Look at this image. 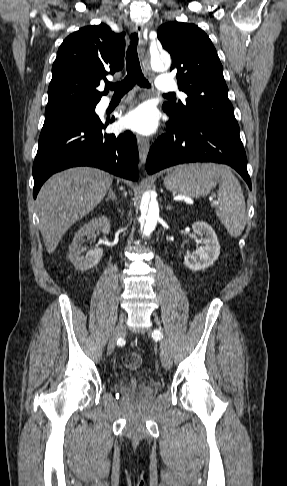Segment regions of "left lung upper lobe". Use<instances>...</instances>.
I'll return each instance as SVG.
<instances>
[{
	"label": "left lung upper lobe",
	"mask_w": 287,
	"mask_h": 486,
	"mask_svg": "<svg viewBox=\"0 0 287 486\" xmlns=\"http://www.w3.org/2000/svg\"><path fill=\"white\" fill-rule=\"evenodd\" d=\"M157 34L171 54V70L177 69L178 87L188 96L185 103H165L163 110L182 124L204 121L239 132L223 67L207 34L177 21L161 25Z\"/></svg>",
	"instance_id": "obj_1"
}]
</instances>
